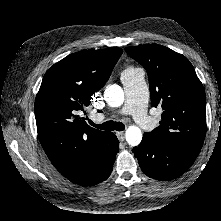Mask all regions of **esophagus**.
Listing matches in <instances>:
<instances>
[{"label":"esophagus","mask_w":221,"mask_h":221,"mask_svg":"<svg viewBox=\"0 0 221 221\" xmlns=\"http://www.w3.org/2000/svg\"><path fill=\"white\" fill-rule=\"evenodd\" d=\"M117 138L119 139V141H124L125 139V134L124 132H116Z\"/></svg>","instance_id":"obj_1"}]
</instances>
